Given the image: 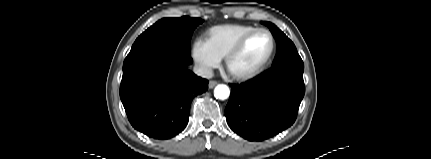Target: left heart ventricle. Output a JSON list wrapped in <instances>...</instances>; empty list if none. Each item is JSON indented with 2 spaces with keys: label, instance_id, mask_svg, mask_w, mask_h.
I'll list each match as a JSON object with an SVG mask.
<instances>
[{
  "label": "left heart ventricle",
  "instance_id": "b2bd125f",
  "mask_svg": "<svg viewBox=\"0 0 431 159\" xmlns=\"http://www.w3.org/2000/svg\"><path fill=\"white\" fill-rule=\"evenodd\" d=\"M272 49L271 38L265 33L253 36L243 51L232 61L230 71L242 74L259 67L269 56Z\"/></svg>",
  "mask_w": 431,
  "mask_h": 159
}]
</instances>
